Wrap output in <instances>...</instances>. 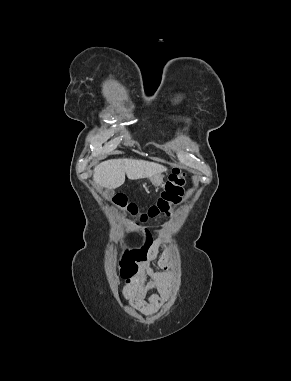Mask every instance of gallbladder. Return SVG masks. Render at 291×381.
Instances as JSON below:
<instances>
[{
  "mask_svg": "<svg viewBox=\"0 0 291 381\" xmlns=\"http://www.w3.org/2000/svg\"><path fill=\"white\" fill-rule=\"evenodd\" d=\"M104 194L107 198H111L114 196V190L112 189H105L104 190Z\"/></svg>",
  "mask_w": 291,
  "mask_h": 381,
  "instance_id": "1",
  "label": "gallbladder"
}]
</instances>
